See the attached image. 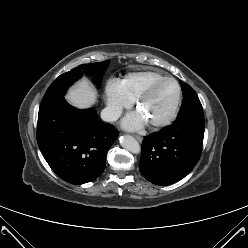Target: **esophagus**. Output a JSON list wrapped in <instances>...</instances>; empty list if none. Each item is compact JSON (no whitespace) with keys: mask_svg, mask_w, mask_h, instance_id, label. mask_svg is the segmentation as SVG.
<instances>
[{"mask_svg":"<svg viewBox=\"0 0 248 248\" xmlns=\"http://www.w3.org/2000/svg\"><path fill=\"white\" fill-rule=\"evenodd\" d=\"M135 139H137L139 142L142 141V137L141 136H138V135H133Z\"/></svg>","mask_w":248,"mask_h":248,"instance_id":"1","label":"esophagus"}]
</instances>
